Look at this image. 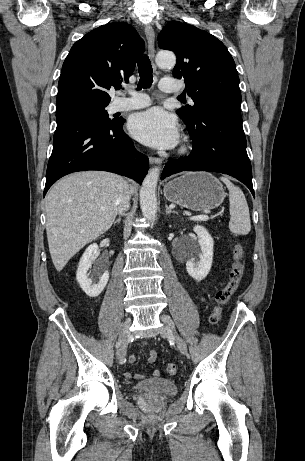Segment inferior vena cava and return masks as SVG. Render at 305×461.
<instances>
[{"mask_svg": "<svg viewBox=\"0 0 305 461\" xmlns=\"http://www.w3.org/2000/svg\"><path fill=\"white\" fill-rule=\"evenodd\" d=\"M130 198H131V192L128 188L127 182L123 180L122 182V192L120 194V197L118 199V213H122L126 210L129 209L130 207Z\"/></svg>", "mask_w": 305, "mask_h": 461, "instance_id": "1", "label": "inferior vena cava"}]
</instances>
